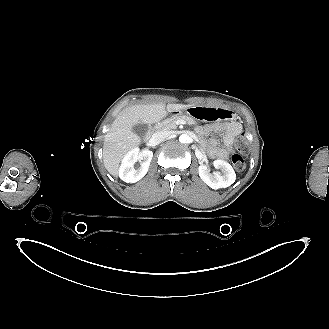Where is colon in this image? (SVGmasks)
I'll return each mask as SVG.
<instances>
[{
  "label": "colon",
  "mask_w": 329,
  "mask_h": 329,
  "mask_svg": "<svg viewBox=\"0 0 329 329\" xmlns=\"http://www.w3.org/2000/svg\"><path fill=\"white\" fill-rule=\"evenodd\" d=\"M236 146L240 154L233 155L232 162L237 171H242L245 168V162L242 155L246 153L248 147V142L244 134H241L236 138Z\"/></svg>",
  "instance_id": "5ec220e1"
}]
</instances>
